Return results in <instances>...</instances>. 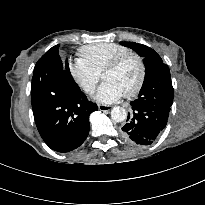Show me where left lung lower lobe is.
I'll return each mask as SVG.
<instances>
[{
    "label": "left lung lower lobe",
    "mask_w": 205,
    "mask_h": 205,
    "mask_svg": "<svg viewBox=\"0 0 205 205\" xmlns=\"http://www.w3.org/2000/svg\"><path fill=\"white\" fill-rule=\"evenodd\" d=\"M133 113L128 114L127 123L122 127L123 138L133 144L150 145L167 125L170 107L153 105L138 100L130 102Z\"/></svg>",
    "instance_id": "left-lung-lower-lobe-1"
}]
</instances>
